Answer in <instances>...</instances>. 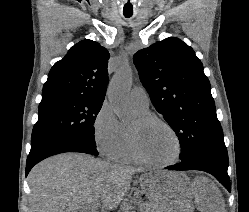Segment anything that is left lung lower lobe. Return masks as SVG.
Instances as JSON below:
<instances>
[{"mask_svg":"<svg viewBox=\"0 0 249 212\" xmlns=\"http://www.w3.org/2000/svg\"><path fill=\"white\" fill-rule=\"evenodd\" d=\"M169 170H200L212 174L231 192L228 169V153L223 141H215L196 149L181 163L168 166Z\"/></svg>","mask_w":249,"mask_h":212,"instance_id":"obj_1","label":"left lung lower lobe"}]
</instances>
